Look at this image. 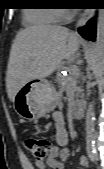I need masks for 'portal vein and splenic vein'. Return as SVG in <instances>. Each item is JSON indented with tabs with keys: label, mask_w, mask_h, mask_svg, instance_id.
<instances>
[{
	"label": "portal vein and splenic vein",
	"mask_w": 104,
	"mask_h": 169,
	"mask_svg": "<svg viewBox=\"0 0 104 169\" xmlns=\"http://www.w3.org/2000/svg\"><path fill=\"white\" fill-rule=\"evenodd\" d=\"M69 72L72 73L73 75H78L79 68L76 65H73L70 67Z\"/></svg>",
	"instance_id": "portal-vein-and-splenic-vein-1"
}]
</instances>
